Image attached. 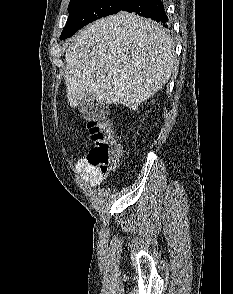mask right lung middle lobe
<instances>
[{
    "label": "right lung middle lobe",
    "instance_id": "1",
    "mask_svg": "<svg viewBox=\"0 0 233 294\" xmlns=\"http://www.w3.org/2000/svg\"><path fill=\"white\" fill-rule=\"evenodd\" d=\"M126 2L127 0H70L69 17L60 38H69L88 23L118 13Z\"/></svg>",
    "mask_w": 233,
    "mask_h": 294
}]
</instances>
